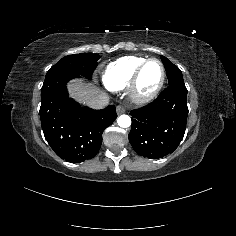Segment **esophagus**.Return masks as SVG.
Listing matches in <instances>:
<instances>
[{"instance_id":"esophagus-1","label":"esophagus","mask_w":236,"mask_h":236,"mask_svg":"<svg viewBox=\"0 0 236 236\" xmlns=\"http://www.w3.org/2000/svg\"><path fill=\"white\" fill-rule=\"evenodd\" d=\"M124 112H125V108L123 106H121V105H118L117 106V113L118 114H122Z\"/></svg>"}]
</instances>
